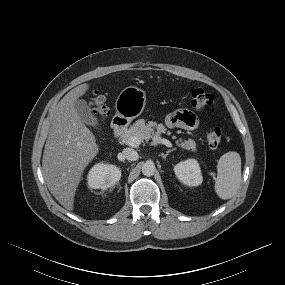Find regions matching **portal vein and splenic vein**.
I'll list each match as a JSON object with an SVG mask.
<instances>
[{
	"label": "portal vein and splenic vein",
	"mask_w": 285,
	"mask_h": 285,
	"mask_svg": "<svg viewBox=\"0 0 285 285\" xmlns=\"http://www.w3.org/2000/svg\"><path fill=\"white\" fill-rule=\"evenodd\" d=\"M141 142H142V140L138 136H132L127 140V144L131 147H138L141 144ZM155 143L156 144H163L167 147L172 146V143L169 140L164 139V138H160V137L155 139Z\"/></svg>",
	"instance_id": "18ae733b"
}]
</instances>
